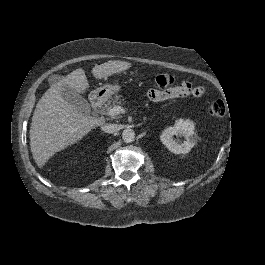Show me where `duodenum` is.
I'll list each match as a JSON object with an SVG mask.
<instances>
[{"label":"duodenum","instance_id":"obj_1","mask_svg":"<svg viewBox=\"0 0 265 265\" xmlns=\"http://www.w3.org/2000/svg\"><path fill=\"white\" fill-rule=\"evenodd\" d=\"M89 100L93 108H98L102 102V96L100 94L94 93L90 96Z\"/></svg>","mask_w":265,"mask_h":265}]
</instances>
